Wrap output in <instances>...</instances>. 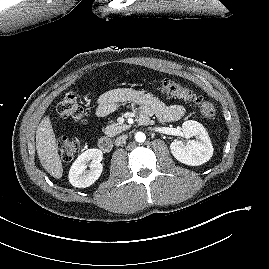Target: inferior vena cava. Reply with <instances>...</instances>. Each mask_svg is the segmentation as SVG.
Returning a JSON list of instances; mask_svg holds the SVG:
<instances>
[{"label":"inferior vena cava","instance_id":"inferior-vena-cava-1","mask_svg":"<svg viewBox=\"0 0 269 269\" xmlns=\"http://www.w3.org/2000/svg\"><path fill=\"white\" fill-rule=\"evenodd\" d=\"M126 139H127V135H122V136L118 137V138L115 140V145H116V146H119V145L125 143V142H126Z\"/></svg>","mask_w":269,"mask_h":269}]
</instances>
